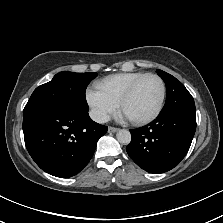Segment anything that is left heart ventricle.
<instances>
[{
  "instance_id": "1",
  "label": "left heart ventricle",
  "mask_w": 223,
  "mask_h": 223,
  "mask_svg": "<svg viewBox=\"0 0 223 223\" xmlns=\"http://www.w3.org/2000/svg\"><path fill=\"white\" fill-rule=\"evenodd\" d=\"M160 83L155 78H147L138 87L120 109L128 118H144L150 115L157 107L160 98Z\"/></svg>"
}]
</instances>
